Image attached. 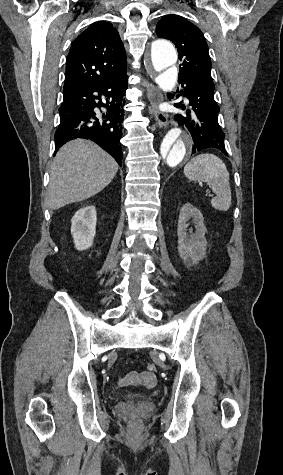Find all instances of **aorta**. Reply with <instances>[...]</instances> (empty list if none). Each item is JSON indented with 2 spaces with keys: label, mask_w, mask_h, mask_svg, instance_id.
I'll return each mask as SVG.
<instances>
[{
  "label": "aorta",
  "mask_w": 283,
  "mask_h": 475,
  "mask_svg": "<svg viewBox=\"0 0 283 475\" xmlns=\"http://www.w3.org/2000/svg\"><path fill=\"white\" fill-rule=\"evenodd\" d=\"M177 61V52L172 43L156 40L151 46L148 64H151L158 76L156 82L166 92L176 85L177 70L172 66ZM193 141L190 135L179 127L170 129L162 139L158 150V167L161 171L176 168L190 157Z\"/></svg>",
  "instance_id": "obj_1"
}]
</instances>
